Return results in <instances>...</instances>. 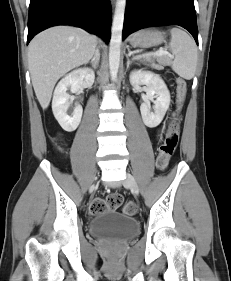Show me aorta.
<instances>
[{
    "instance_id": "obj_1",
    "label": "aorta",
    "mask_w": 231,
    "mask_h": 281,
    "mask_svg": "<svg viewBox=\"0 0 231 281\" xmlns=\"http://www.w3.org/2000/svg\"><path fill=\"white\" fill-rule=\"evenodd\" d=\"M125 8L126 0H117L109 48V68L112 81H116L118 75Z\"/></svg>"
}]
</instances>
